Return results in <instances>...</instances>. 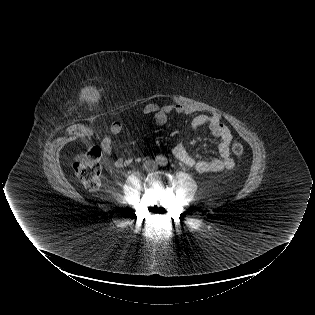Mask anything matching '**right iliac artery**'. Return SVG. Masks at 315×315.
<instances>
[{"label": "right iliac artery", "instance_id": "1", "mask_svg": "<svg viewBox=\"0 0 315 315\" xmlns=\"http://www.w3.org/2000/svg\"><path fill=\"white\" fill-rule=\"evenodd\" d=\"M156 161H157L158 163H161L162 159H161L160 157H158V158L156 159Z\"/></svg>", "mask_w": 315, "mask_h": 315}]
</instances>
